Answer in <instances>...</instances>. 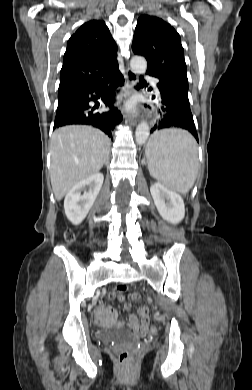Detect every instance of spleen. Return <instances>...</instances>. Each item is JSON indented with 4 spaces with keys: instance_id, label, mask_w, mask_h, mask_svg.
<instances>
[{
    "instance_id": "obj_1",
    "label": "spleen",
    "mask_w": 252,
    "mask_h": 390,
    "mask_svg": "<svg viewBox=\"0 0 252 390\" xmlns=\"http://www.w3.org/2000/svg\"><path fill=\"white\" fill-rule=\"evenodd\" d=\"M151 176L170 190L186 194L198 172L197 144L186 131L162 130L154 133L145 150Z\"/></svg>"
}]
</instances>
